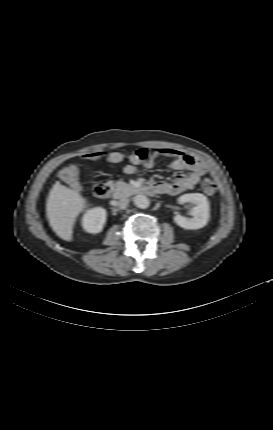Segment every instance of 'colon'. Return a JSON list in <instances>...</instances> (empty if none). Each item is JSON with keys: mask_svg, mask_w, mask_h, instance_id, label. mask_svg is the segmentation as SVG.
<instances>
[{"mask_svg": "<svg viewBox=\"0 0 273 430\" xmlns=\"http://www.w3.org/2000/svg\"><path fill=\"white\" fill-rule=\"evenodd\" d=\"M60 178L68 186L77 189L80 186L78 178V168L75 165H68L60 172ZM203 191L208 195H213L216 192V184L210 180L205 179L202 183Z\"/></svg>", "mask_w": 273, "mask_h": 430, "instance_id": "1", "label": "colon"}]
</instances>
